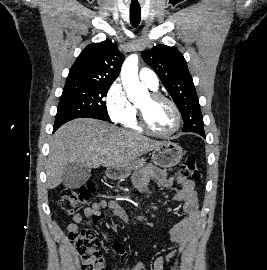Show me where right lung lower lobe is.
<instances>
[{
  "instance_id": "1",
  "label": "right lung lower lobe",
  "mask_w": 267,
  "mask_h": 270,
  "mask_svg": "<svg viewBox=\"0 0 267 270\" xmlns=\"http://www.w3.org/2000/svg\"><path fill=\"white\" fill-rule=\"evenodd\" d=\"M96 119H99V118H96ZM100 120H103V119H100ZM68 122L67 120H65L64 122H59V123H56L54 124V127H53V132H55L62 124Z\"/></svg>"
}]
</instances>
